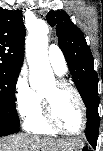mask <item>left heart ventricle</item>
<instances>
[{
  "label": "left heart ventricle",
  "mask_w": 103,
  "mask_h": 151,
  "mask_svg": "<svg viewBox=\"0 0 103 151\" xmlns=\"http://www.w3.org/2000/svg\"><path fill=\"white\" fill-rule=\"evenodd\" d=\"M42 93L52 99L54 116L60 126L70 131H77L81 128L82 110L73 92L67 89H58L53 82Z\"/></svg>",
  "instance_id": "left-heart-ventricle-1"
}]
</instances>
